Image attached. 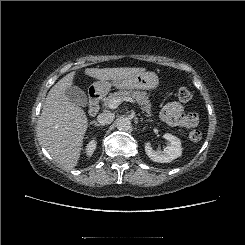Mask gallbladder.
Listing matches in <instances>:
<instances>
[{
	"label": "gallbladder",
	"mask_w": 245,
	"mask_h": 245,
	"mask_svg": "<svg viewBox=\"0 0 245 245\" xmlns=\"http://www.w3.org/2000/svg\"><path fill=\"white\" fill-rule=\"evenodd\" d=\"M66 97L73 103L81 106L87 107L88 98L85 92L78 86L71 85L65 89Z\"/></svg>",
	"instance_id": "bac80fb5"
}]
</instances>
